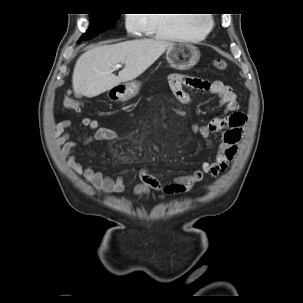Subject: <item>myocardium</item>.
I'll list each match as a JSON object with an SVG mask.
<instances>
[{
  "label": "myocardium",
  "instance_id": "1",
  "mask_svg": "<svg viewBox=\"0 0 303 303\" xmlns=\"http://www.w3.org/2000/svg\"><path fill=\"white\" fill-rule=\"evenodd\" d=\"M215 25L213 17L196 18V29L201 36L207 35Z\"/></svg>",
  "mask_w": 303,
  "mask_h": 303
}]
</instances>
